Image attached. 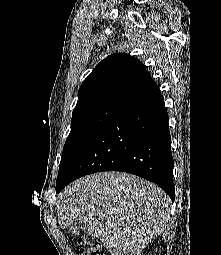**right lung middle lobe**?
Here are the masks:
<instances>
[{
  "mask_svg": "<svg viewBox=\"0 0 221 255\" xmlns=\"http://www.w3.org/2000/svg\"><path fill=\"white\" fill-rule=\"evenodd\" d=\"M119 106H101L72 115L71 131L61 156L57 182L62 180Z\"/></svg>",
  "mask_w": 221,
  "mask_h": 255,
  "instance_id": "dd1d6c3e",
  "label": "right lung middle lobe"
}]
</instances>
